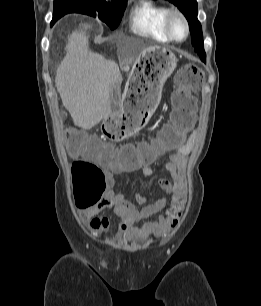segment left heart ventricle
<instances>
[{
  "label": "left heart ventricle",
  "mask_w": 261,
  "mask_h": 306,
  "mask_svg": "<svg viewBox=\"0 0 261 306\" xmlns=\"http://www.w3.org/2000/svg\"><path fill=\"white\" fill-rule=\"evenodd\" d=\"M172 30H173V34L175 35V37H177V38H183L184 37V34H185L184 27L178 19H175L173 21Z\"/></svg>",
  "instance_id": "b2bd125f"
}]
</instances>
